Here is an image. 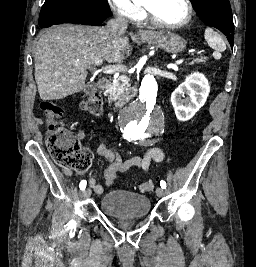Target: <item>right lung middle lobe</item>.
<instances>
[{
    "label": "right lung middle lobe",
    "instance_id": "dd1d6c3e",
    "mask_svg": "<svg viewBox=\"0 0 256 267\" xmlns=\"http://www.w3.org/2000/svg\"><path fill=\"white\" fill-rule=\"evenodd\" d=\"M107 0H45L39 16V24L59 18L90 16L103 18L111 16Z\"/></svg>",
    "mask_w": 256,
    "mask_h": 267
}]
</instances>
